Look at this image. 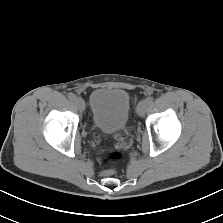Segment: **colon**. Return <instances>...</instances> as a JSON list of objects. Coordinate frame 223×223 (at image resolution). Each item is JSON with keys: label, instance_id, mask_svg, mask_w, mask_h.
Listing matches in <instances>:
<instances>
[{"label": "colon", "instance_id": "colon-1", "mask_svg": "<svg viewBox=\"0 0 223 223\" xmlns=\"http://www.w3.org/2000/svg\"><path fill=\"white\" fill-rule=\"evenodd\" d=\"M122 158L123 155L119 151H111L105 154L101 159L104 174H113L115 172L116 165L122 160Z\"/></svg>", "mask_w": 223, "mask_h": 223}]
</instances>
